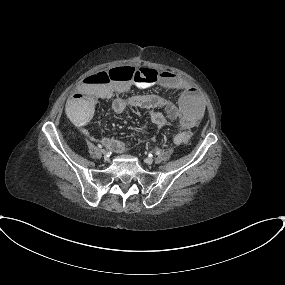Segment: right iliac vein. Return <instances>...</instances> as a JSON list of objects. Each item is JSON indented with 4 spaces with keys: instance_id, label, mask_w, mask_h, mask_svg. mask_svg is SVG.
Wrapping results in <instances>:
<instances>
[{
    "instance_id": "right-iliac-vein-1",
    "label": "right iliac vein",
    "mask_w": 285,
    "mask_h": 285,
    "mask_svg": "<svg viewBox=\"0 0 285 285\" xmlns=\"http://www.w3.org/2000/svg\"><path fill=\"white\" fill-rule=\"evenodd\" d=\"M100 153L103 154V155H106V154H107V152H106L105 149H101V150H100Z\"/></svg>"
}]
</instances>
